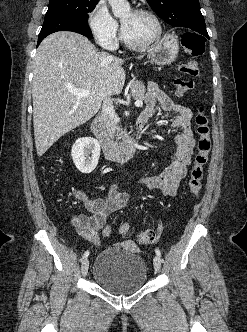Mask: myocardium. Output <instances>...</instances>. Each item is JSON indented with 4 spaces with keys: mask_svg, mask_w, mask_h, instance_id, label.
<instances>
[{
    "mask_svg": "<svg viewBox=\"0 0 247 332\" xmlns=\"http://www.w3.org/2000/svg\"><path fill=\"white\" fill-rule=\"evenodd\" d=\"M133 12L136 13V14L146 15V16H149L150 18H152L155 25H156V31H155L154 35L149 40H147L145 42H142V43H135V42H132L127 37L124 26H122V28H121V40L123 41V43L127 47H129L131 49H134V50L147 49L161 38L162 33H163L162 23H161L159 17L157 16V14L154 13L153 11H150V10H147V9H135V10H133Z\"/></svg>",
    "mask_w": 247,
    "mask_h": 332,
    "instance_id": "myocardium-1",
    "label": "myocardium"
}]
</instances>
